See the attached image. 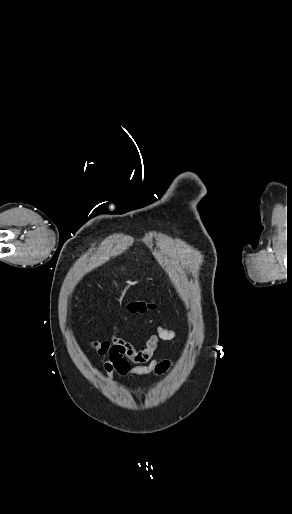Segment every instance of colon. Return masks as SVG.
<instances>
[{
	"mask_svg": "<svg viewBox=\"0 0 292 514\" xmlns=\"http://www.w3.org/2000/svg\"><path fill=\"white\" fill-rule=\"evenodd\" d=\"M153 308L152 303L144 300H132L127 304V311L130 313H147Z\"/></svg>",
	"mask_w": 292,
	"mask_h": 514,
	"instance_id": "colon-1",
	"label": "colon"
}]
</instances>
